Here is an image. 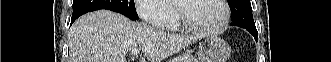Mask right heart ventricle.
Returning <instances> with one entry per match:
<instances>
[{
    "label": "right heart ventricle",
    "mask_w": 331,
    "mask_h": 62,
    "mask_svg": "<svg viewBox=\"0 0 331 62\" xmlns=\"http://www.w3.org/2000/svg\"><path fill=\"white\" fill-rule=\"evenodd\" d=\"M168 27L171 30H177L178 29V24L176 22H172Z\"/></svg>",
    "instance_id": "e07e8e85"
}]
</instances>
